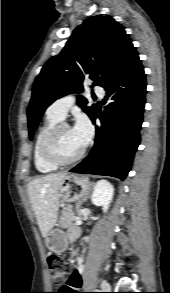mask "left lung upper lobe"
<instances>
[{
	"label": "left lung upper lobe",
	"mask_w": 170,
	"mask_h": 293,
	"mask_svg": "<svg viewBox=\"0 0 170 293\" xmlns=\"http://www.w3.org/2000/svg\"><path fill=\"white\" fill-rule=\"evenodd\" d=\"M124 28L111 16L87 18L72 33L60 54L50 58L34 85L28 106L30 139L45 109L56 99L83 91L85 78L93 85L103 86L113 69L132 47ZM86 99L78 96V104L92 119L95 105L85 106Z\"/></svg>",
	"instance_id": "obj_1"
}]
</instances>
